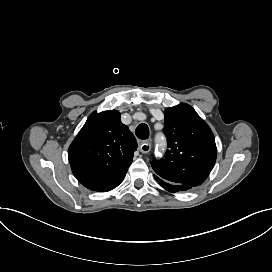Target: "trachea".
<instances>
[{
    "instance_id": "3493384b",
    "label": "trachea",
    "mask_w": 272,
    "mask_h": 272,
    "mask_svg": "<svg viewBox=\"0 0 272 272\" xmlns=\"http://www.w3.org/2000/svg\"><path fill=\"white\" fill-rule=\"evenodd\" d=\"M135 134L140 139H147L149 137V129L145 123L140 124L135 131Z\"/></svg>"
}]
</instances>
